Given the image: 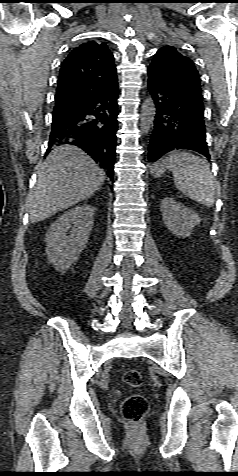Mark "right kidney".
<instances>
[{
  "instance_id": "1",
  "label": "right kidney",
  "mask_w": 238,
  "mask_h": 476,
  "mask_svg": "<svg viewBox=\"0 0 238 476\" xmlns=\"http://www.w3.org/2000/svg\"><path fill=\"white\" fill-rule=\"evenodd\" d=\"M95 208L84 204L62 214L46 234V254L57 271L64 273L86 247ZM68 230L70 234L67 235Z\"/></svg>"
}]
</instances>
